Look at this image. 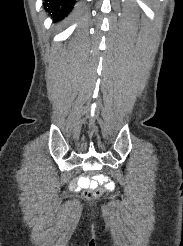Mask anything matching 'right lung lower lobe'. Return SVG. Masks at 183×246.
<instances>
[{
    "instance_id": "1",
    "label": "right lung lower lobe",
    "mask_w": 183,
    "mask_h": 246,
    "mask_svg": "<svg viewBox=\"0 0 183 246\" xmlns=\"http://www.w3.org/2000/svg\"><path fill=\"white\" fill-rule=\"evenodd\" d=\"M43 6L53 16L54 22H58L72 11L74 0H44Z\"/></svg>"
}]
</instances>
